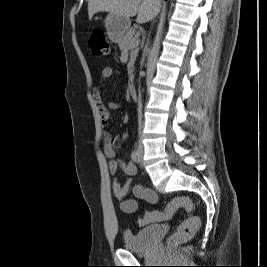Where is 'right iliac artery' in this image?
Here are the masks:
<instances>
[{
	"label": "right iliac artery",
	"mask_w": 267,
	"mask_h": 267,
	"mask_svg": "<svg viewBox=\"0 0 267 267\" xmlns=\"http://www.w3.org/2000/svg\"><path fill=\"white\" fill-rule=\"evenodd\" d=\"M131 159L135 162L138 163L139 162V155L138 152L136 150H133L131 153Z\"/></svg>",
	"instance_id": "obj_1"
}]
</instances>
